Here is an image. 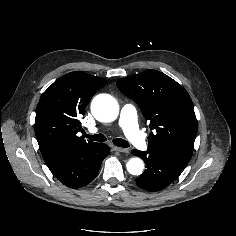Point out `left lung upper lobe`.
Returning a JSON list of instances; mask_svg holds the SVG:
<instances>
[{
	"label": "left lung upper lobe",
	"instance_id": "left-lung-upper-lobe-1",
	"mask_svg": "<svg viewBox=\"0 0 236 236\" xmlns=\"http://www.w3.org/2000/svg\"><path fill=\"white\" fill-rule=\"evenodd\" d=\"M117 87L138 104L151 130H155L149 134L148 148L187 166L198 130L187 91L169 76L153 69L121 78Z\"/></svg>",
	"mask_w": 236,
	"mask_h": 236
}]
</instances>
